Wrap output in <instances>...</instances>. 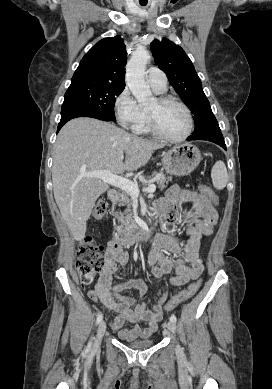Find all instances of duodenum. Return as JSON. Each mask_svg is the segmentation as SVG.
Instances as JSON below:
<instances>
[{"instance_id": "1", "label": "duodenum", "mask_w": 272, "mask_h": 389, "mask_svg": "<svg viewBox=\"0 0 272 389\" xmlns=\"http://www.w3.org/2000/svg\"><path fill=\"white\" fill-rule=\"evenodd\" d=\"M109 198L116 202L119 193L116 190H110ZM149 228L134 224L129 227H117L113 233V239L120 245H134L150 238Z\"/></svg>"}]
</instances>
